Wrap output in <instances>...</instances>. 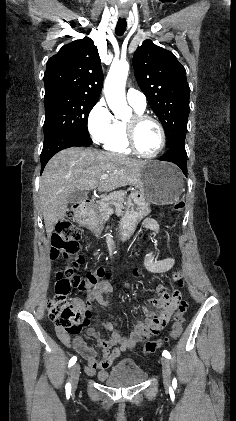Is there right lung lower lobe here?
<instances>
[{
  "label": "right lung lower lobe",
  "instance_id": "98d812e1",
  "mask_svg": "<svg viewBox=\"0 0 236 421\" xmlns=\"http://www.w3.org/2000/svg\"><path fill=\"white\" fill-rule=\"evenodd\" d=\"M92 142L80 139L70 134H56L48 140L44 141L43 150L41 153V173L50 160V158L57 152L69 148V147H80L90 146Z\"/></svg>",
  "mask_w": 236,
  "mask_h": 421
}]
</instances>
